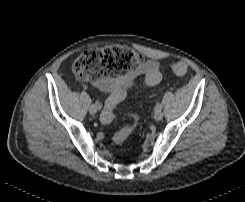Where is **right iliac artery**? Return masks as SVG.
<instances>
[{"label":"right iliac artery","instance_id":"82829eb1","mask_svg":"<svg viewBox=\"0 0 245 202\" xmlns=\"http://www.w3.org/2000/svg\"><path fill=\"white\" fill-rule=\"evenodd\" d=\"M95 105L98 107V109H101L102 108V105L99 101H96L95 102Z\"/></svg>","mask_w":245,"mask_h":202}]
</instances>
